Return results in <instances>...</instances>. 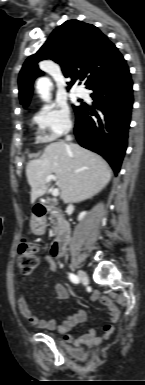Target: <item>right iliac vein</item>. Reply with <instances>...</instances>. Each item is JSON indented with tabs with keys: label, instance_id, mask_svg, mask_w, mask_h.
<instances>
[{
	"label": "right iliac vein",
	"instance_id": "63e3f726",
	"mask_svg": "<svg viewBox=\"0 0 145 385\" xmlns=\"http://www.w3.org/2000/svg\"><path fill=\"white\" fill-rule=\"evenodd\" d=\"M78 277H79V279L81 280V282H82L83 284L86 285V284L89 283V278H88L87 274H86L84 271L79 270V271H78Z\"/></svg>",
	"mask_w": 145,
	"mask_h": 385
}]
</instances>
